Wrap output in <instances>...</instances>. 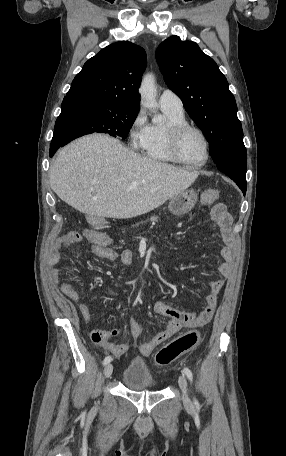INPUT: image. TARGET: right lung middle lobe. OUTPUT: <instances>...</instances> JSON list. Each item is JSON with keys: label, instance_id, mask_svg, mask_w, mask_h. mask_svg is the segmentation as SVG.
I'll return each mask as SVG.
<instances>
[{"label": "right lung middle lobe", "instance_id": "dd1d6c3e", "mask_svg": "<svg viewBox=\"0 0 286 456\" xmlns=\"http://www.w3.org/2000/svg\"><path fill=\"white\" fill-rule=\"evenodd\" d=\"M138 107L118 105L91 98H71L62 102L52 140L63 145L93 132L127 137Z\"/></svg>", "mask_w": 286, "mask_h": 456}]
</instances>
